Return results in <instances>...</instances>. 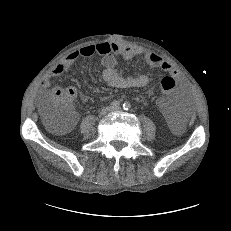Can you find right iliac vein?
Returning <instances> with one entry per match:
<instances>
[{
    "label": "right iliac vein",
    "instance_id": "63e3f726",
    "mask_svg": "<svg viewBox=\"0 0 231 231\" xmlns=\"http://www.w3.org/2000/svg\"><path fill=\"white\" fill-rule=\"evenodd\" d=\"M111 110L110 107H105L100 111V115H106Z\"/></svg>",
    "mask_w": 231,
    "mask_h": 231
}]
</instances>
